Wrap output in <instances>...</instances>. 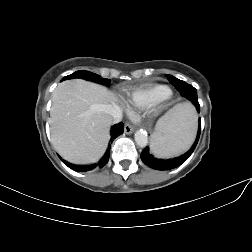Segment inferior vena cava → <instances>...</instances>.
I'll use <instances>...</instances> for the list:
<instances>
[{
  "mask_svg": "<svg viewBox=\"0 0 252 252\" xmlns=\"http://www.w3.org/2000/svg\"><path fill=\"white\" fill-rule=\"evenodd\" d=\"M106 112L112 117V123L115 124L121 122L123 116L119 107L107 105Z\"/></svg>",
  "mask_w": 252,
  "mask_h": 252,
  "instance_id": "602c4592",
  "label": "inferior vena cava"
}]
</instances>
